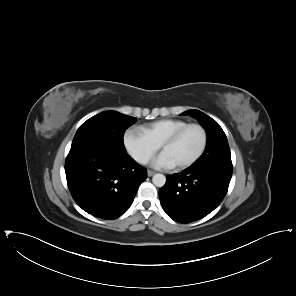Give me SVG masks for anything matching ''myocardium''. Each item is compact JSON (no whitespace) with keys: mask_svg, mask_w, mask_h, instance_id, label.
<instances>
[{"mask_svg":"<svg viewBox=\"0 0 296 296\" xmlns=\"http://www.w3.org/2000/svg\"><path fill=\"white\" fill-rule=\"evenodd\" d=\"M190 128H197L201 131L202 144H201V147L198 150V152L191 159L184 161L182 163L175 164V167H177V168H186L188 166H191L195 162H197L201 158V156L203 155V153L206 149V146H207V133H206L205 129L199 124L192 123V124L186 125L182 129H180L179 131L174 133L171 137H169L167 139V141L162 145V151L164 152L169 146L173 145L176 141H178V139Z\"/></svg>","mask_w":296,"mask_h":296,"instance_id":"1","label":"myocardium"}]
</instances>
